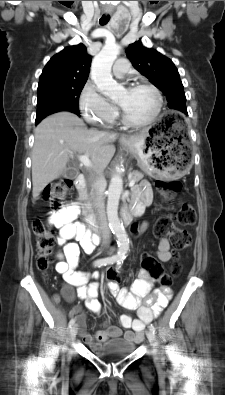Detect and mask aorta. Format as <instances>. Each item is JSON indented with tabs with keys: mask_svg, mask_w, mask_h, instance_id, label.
Here are the masks:
<instances>
[{
	"mask_svg": "<svg viewBox=\"0 0 225 395\" xmlns=\"http://www.w3.org/2000/svg\"><path fill=\"white\" fill-rule=\"evenodd\" d=\"M120 52V47L115 43L106 44L94 57L91 67V78L98 90L105 96L115 100L123 92V87L117 83L112 75L111 68ZM121 167H116V173L112 176L107 193V219L109 227L117 239L118 260H123L129 251V238L125 228L118 217V206L123 191V180L120 175Z\"/></svg>",
	"mask_w": 225,
	"mask_h": 395,
	"instance_id": "1",
	"label": "aorta"
}]
</instances>
